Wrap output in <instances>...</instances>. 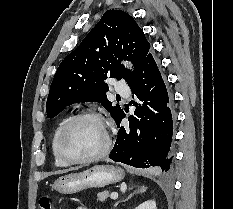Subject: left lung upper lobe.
I'll return each mask as SVG.
<instances>
[{
  "instance_id": "1",
  "label": "left lung upper lobe",
  "mask_w": 233,
  "mask_h": 209,
  "mask_svg": "<svg viewBox=\"0 0 233 209\" xmlns=\"http://www.w3.org/2000/svg\"><path fill=\"white\" fill-rule=\"evenodd\" d=\"M150 44L134 18L121 10H108L81 44L59 65L47 98V117L80 102H100L116 120L123 109L108 101L107 78L128 83L147 57ZM134 64L130 72L121 60Z\"/></svg>"
}]
</instances>
